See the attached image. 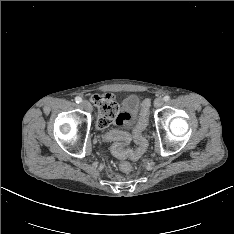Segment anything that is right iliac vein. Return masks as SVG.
I'll list each match as a JSON object with an SVG mask.
<instances>
[{"instance_id": "1", "label": "right iliac vein", "mask_w": 234, "mask_h": 234, "mask_svg": "<svg viewBox=\"0 0 234 234\" xmlns=\"http://www.w3.org/2000/svg\"><path fill=\"white\" fill-rule=\"evenodd\" d=\"M82 107L86 110V111H91L92 110V106L91 104L89 103V101L87 100H84L82 103H81Z\"/></svg>"}]
</instances>
